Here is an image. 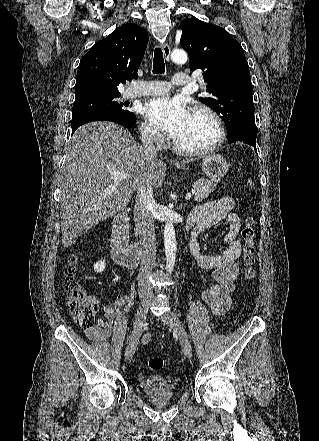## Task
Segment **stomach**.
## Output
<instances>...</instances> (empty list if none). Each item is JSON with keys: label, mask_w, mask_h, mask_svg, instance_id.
<instances>
[{"label": "stomach", "mask_w": 319, "mask_h": 441, "mask_svg": "<svg viewBox=\"0 0 319 441\" xmlns=\"http://www.w3.org/2000/svg\"><path fill=\"white\" fill-rule=\"evenodd\" d=\"M178 169H185L184 166H177ZM203 172L211 178H220L229 170L227 160L220 155H209L202 161Z\"/></svg>", "instance_id": "obj_1"}]
</instances>
